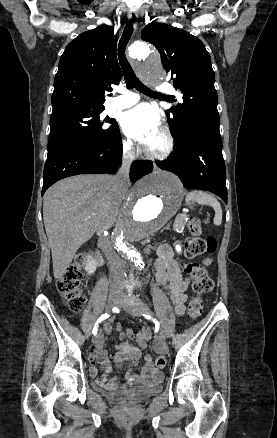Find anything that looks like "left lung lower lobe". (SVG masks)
I'll return each instance as SVG.
<instances>
[{"label": "left lung lower lobe", "mask_w": 277, "mask_h": 438, "mask_svg": "<svg viewBox=\"0 0 277 438\" xmlns=\"http://www.w3.org/2000/svg\"><path fill=\"white\" fill-rule=\"evenodd\" d=\"M218 112L207 110L191 123L177 153L158 167L176 174L187 189L213 192L227 203L226 170Z\"/></svg>", "instance_id": "1"}]
</instances>
